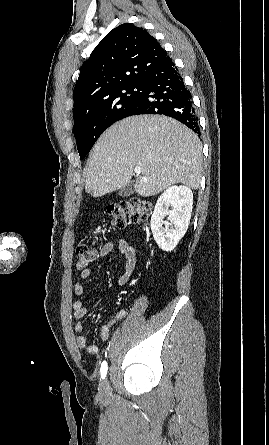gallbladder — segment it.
<instances>
[{
	"label": "gallbladder",
	"instance_id": "bac80fb5",
	"mask_svg": "<svg viewBox=\"0 0 269 445\" xmlns=\"http://www.w3.org/2000/svg\"><path fill=\"white\" fill-rule=\"evenodd\" d=\"M133 193H134V184L130 182L125 187L121 188L118 194L122 197H128Z\"/></svg>",
	"mask_w": 269,
	"mask_h": 445
}]
</instances>
